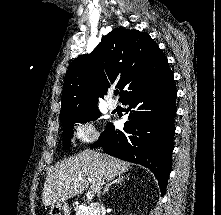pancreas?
Listing matches in <instances>:
<instances>
[{
	"label": "pancreas",
	"instance_id": "cf45deb5",
	"mask_svg": "<svg viewBox=\"0 0 221 215\" xmlns=\"http://www.w3.org/2000/svg\"><path fill=\"white\" fill-rule=\"evenodd\" d=\"M76 215H91L87 206H76Z\"/></svg>",
	"mask_w": 221,
	"mask_h": 215
}]
</instances>
